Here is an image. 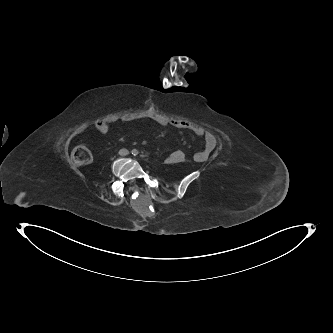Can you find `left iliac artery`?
<instances>
[{"instance_id": "left-iliac-artery-1", "label": "left iliac artery", "mask_w": 333, "mask_h": 333, "mask_svg": "<svg viewBox=\"0 0 333 333\" xmlns=\"http://www.w3.org/2000/svg\"><path fill=\"white\" fill-rule=\"evenodd\" d=\"M133 154L136 156L138 154L137 150H133Z\"/></svg>"}]
</instances>
